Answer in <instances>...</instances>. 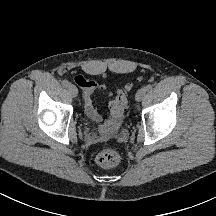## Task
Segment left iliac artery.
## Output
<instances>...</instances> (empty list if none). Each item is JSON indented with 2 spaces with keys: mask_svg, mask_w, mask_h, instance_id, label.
<instances>
[{
  "mask_svg": "<svg viewBox=\"0 0 216 216\" xmlns=\"http://www.w3.org/2000/svg\"><path fill=\"white\" fill-rule=\"evenodd\" d=\"M145 89H146V91H151L152 90V85H147L146 87H145Z\"/></svg>",
  "mask_w": 216,
  "mask_h": 216,
  "instance_id": "1",
  "label": "left iliac artery"
}]
</instances>
